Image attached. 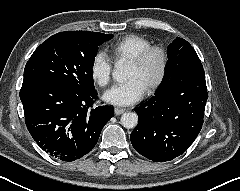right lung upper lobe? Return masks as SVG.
<instances>
[{"instance_id":"obj_1","label":"right lung upper lobe","mask_w":240,"mask_h":191,"mask_svg":"<svg viewBox=\"0 0 240 191\" xmlns=\"http://www.w3.org/2000/svg\"><path fill=\"white\" fill-rule=\"evenodd\" d=\"M58 34L69 35V36H77V37H90V36L103 35V33L90 32V31H66V32H60Z\"/></svg>"}]
</instances>
